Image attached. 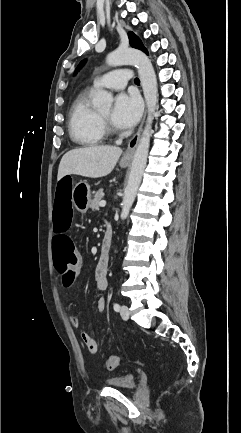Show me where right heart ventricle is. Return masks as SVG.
<instances>
[{
  "label": "right heart ventricle",
  "mask_w": 241,
  "mask_h": 433,
  "mask_svg": "<svg viewBox=\"0 0 241 433\" xmlns=\"http://www.w3.org/2000/svg\"><path fill=\"white\" fill-rule=\"evenodd\" d=\"M90 98V91L80 93L69 112L70 137L72 141L82 146L98 145L106 138L98 112L92 107Z\"/></svg>",
  "instance_id": "1"
}]
</instances>
